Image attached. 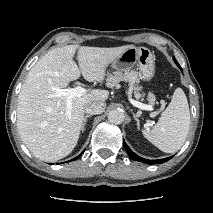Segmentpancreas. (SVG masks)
I'll list each match as a JSON object with an SVG mask.
<instances>
[{
	"label": "pancreas",
	"instance_id": "pancreas-1",
	"mask_svg": "<svg viewBox=\"0 0 213 213\" xmlns=\"http://www.w3.org/2000/svg\"><path fill=\"white\" fill-rule=\"evenodd\" d=\"M125 81L129 82V93H132L134 90V95L136 99L141 97V94L137 92L141 88L135 86V83L139 81V74L134 70H125L124 73L121 71L114 72L113 74H109L107 77V87L113 88L119 84V82ZM155 99L153 94H149V101L153 102Z\"/></svg>",
	"mask_w": 213,
	"mask_h": 213
}]
</instances>
